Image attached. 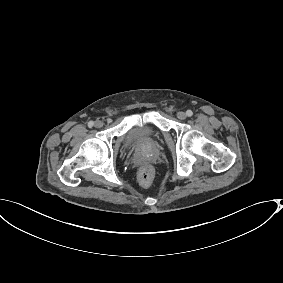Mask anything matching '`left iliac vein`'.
I'll return each instance as SVG.
<instances>
[{
  "label": "left iliac vein",
  "instance_id": "4c4485c4",
  "mask_svg": "<svg viewBox=\"0 0 283 283\" xmlns=\"http://www.w3.org/2000/svg\"><path fill=\"white\" fill-rule=\"evenodd\" d=\"M186 117H187V115H186L185 112L180 111V112L177 113V118L180 119V120H184V119H186Z\"/></svg>",
  "mask_w": 283,
  "mask_h": 283
}]
</instances>
